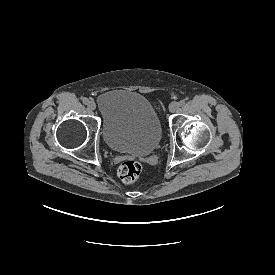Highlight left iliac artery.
Returning a JSON list of instances; mask_svg holds the SVG:
<instances>
[{"label": "left iliac artery", "instance_id": "44dca946", "mask_svg": "<svg viewBox=\"0 0 275 275\" xmlns=\"http://www.w3.org/2000/svg\"><path fill=\"white\" fill-rule=\"evenodd\" d=\"M184 104H185V100H180V101H179V105H180V106H183Z\"/></svg>", "mask_w": 275, "mask_h": 275}]
</instances>
